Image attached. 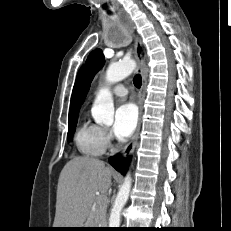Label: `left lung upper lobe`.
<instances>
[{
  "label": "left lung upper lobe",
  "mask_w": 231,
  "mask_h": 231,
  "mask_svg": "<svg viewBox=\"0 0 231 231\" xmlns=\"http://www.w3.org/2000/svg\"><path fill=\"white\" fill-rule=\"evenodd\" d=\"M104 64V55L101 49H96L90 53L87 58L83 80L81 86V96L80 101L83 102L90 88V83L92 82L94 76L99 71V69Z\"/></svg>",
  "instance_id": "left-lung-upper-lobe-1"
}]
</instances>
